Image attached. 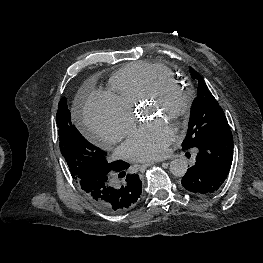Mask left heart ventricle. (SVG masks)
<instances>
[{"label":"left heart ventricle","instance_id":"1","mask_svg":"<svg viewBox=\"0 0 263 263\" xmlns=\"http://www.w3.org/2000/svg\"><path fill=\"white\" fill-rule=\"evenodd\" d=\"M179 104V97L175 94L170 95L166 100L161 103H149L147 112L150 116H164L168 117V113L175 109Z\"/></svg>","mask_w":263,"mask_h":263}]
</instances>
